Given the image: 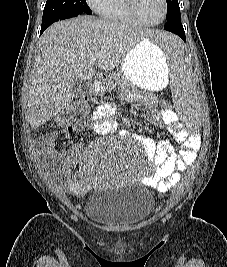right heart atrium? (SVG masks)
Masks as SVG:
<instances>
[{"label": "right heart atrium", "mask_w": 227, "mask_h": 267, "mask_svg": "<svg viewBox=\"0 0 227 267\" xmlns=\"http://www.w3.org/2000/svg\"><path fill=\"white\" fill-rule=\"evenodd\" d=\"M104 2L105 0H86V3L95 11H97Z\"/></svg>", "instance_id": "d8ad5b80"}]
</instances>
